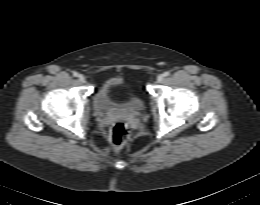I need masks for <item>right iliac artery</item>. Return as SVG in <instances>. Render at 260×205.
Listing matches in <instances>:
<instances>
[{"label": "right iliac artery", "instance_id": "1", "mask_svg": "<svg viewBox=\"0 0 260 205\" xmlns=\"http://www.w3.org/2000/svg\"><path fill=\"white\" fill-rule=\"evenodd\" d=\"M78 75H79V74H78L76 71L73 72V76H74V77H77Z\"/></svg>", "mask_w": 260, "mask_h": 205}]
</instances>
